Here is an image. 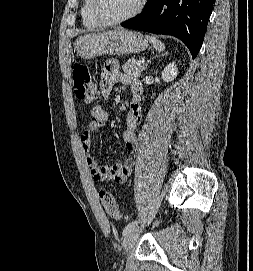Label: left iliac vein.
Masks as SVG:
<instances>
[{"label": "left iliac vein", "instance_id": "1", "mask_svg": "<svg viewBox=\"0 0 253 271\" xmlns=\"http://www.w3.org/2000/svg\"><path fill=\"white\" fill-rule=\"evenodd\" d=\"M139 228H133L129 233L126 234L123 241V248L125 253H128L131 248L135 245L140 234Z\"/></svg>", "mask_w": 253, "mask_h": 271}]
</instances>
